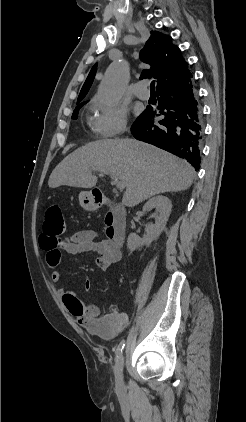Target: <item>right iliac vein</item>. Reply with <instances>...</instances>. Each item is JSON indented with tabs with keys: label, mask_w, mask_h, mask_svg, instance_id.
<instances>
[{
	"label": "right iliac vein",
	"mask_w": 246,
	"mask_h": 422,
	"mask_svg": "<svg viewBox=\"0 0 246 422\" xmlns=\"http://www.w3.org/2000/svg\"><path fill=\"white\" fill-rule=\"evenodd\" d=\"M123 367H124V356L121 354L114 367L116 386L119 390L123 386Z\"/></svg>",
	"instance_id": "right-iliac-vein-1"
}]
</instances>
